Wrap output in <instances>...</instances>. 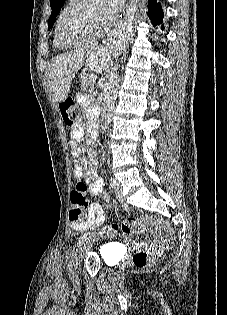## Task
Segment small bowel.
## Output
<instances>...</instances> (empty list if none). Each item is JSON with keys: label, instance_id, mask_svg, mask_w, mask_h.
Listing matches in <instances>:
<instances>
[{"label": "small bowel", "instance_id": "obj_1", "mask_svg": "<svg viewBox=\"0 0 227 315\" xmlns=\"http://www.w3.org/2000/svg\"><path fill=\"white\" fill-rule=\"evenodd\" d=\"M83 139V128L80 125L72 127L70 132V147L71 156L73 158L74 176L77 180H82L88 185V192L91 195L99 194L103 191V181L97 175V160L94 151L91 148V143L87 142L89 148L88 167L85 168L81 159L80 143ZM105 219V212L102 206L98 203L91 204L88 215L85 221L71 220V227L76 231L88 230L95 224H100ZM167 231L172 234V229L169 225H165ZM169 239L159 238L151 244V249H157L169 243Z\"/></svg>", "mask_w": 227, "mask_h": 315}]
</instances>
